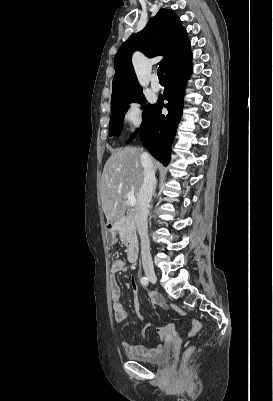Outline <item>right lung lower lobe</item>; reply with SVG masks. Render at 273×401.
I'll use <instances>...</instances> for the list:
<instances>
[{"label": "right lung lower lobe", "mask_w": 273, "mask_h": 401, "mask_svg": "<svg viewBox=\"0 0 273 401\" xmlns=\"http://www.w3.org/2000/svg\"><path fill=\"white\" fill-rule=\"evenodd\" d=\"M191 59L173 67L166 74V88L162 99L153 104L149 123L140 130V138L148 151L164 166L168 165L177 125L180 121L186 81L191 74ZM164 99L168 104H164ZM168 114H162V108Z\"/></svg>", "instance_id": "obj_1"}]
</instances>
